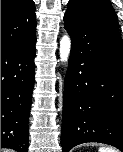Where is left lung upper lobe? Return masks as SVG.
Instances as JSON below:
<instances>
[{
	"mask_svg": "<svg viewBox=\"0 0 123 152\" xmlns=\"http://www.w3.org/2000/svg\"><path fill=\"white\" fill-rule=\"evenodd\" d=\"M81 9L119 32L116 13L108 0H70L67 11Z\"/></svg>",
	"mask_w": 123,
	"mask_h": 152,
	"instance_id": "obj_1",
	"label": "left lung upper lobe"
}]
</instances>
